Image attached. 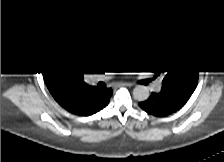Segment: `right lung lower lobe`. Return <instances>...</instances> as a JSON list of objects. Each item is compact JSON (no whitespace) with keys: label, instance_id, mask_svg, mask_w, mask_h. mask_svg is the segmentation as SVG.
<instances>
[{"label":"right lung lower lobe","instance_id":"1","mask_svg":"<svg viewBox=\"0 0 224 162\" xmlns=\"http://www.w3.org/2000/svg\"><path fill=\"white\" fill-rule=\"evenodd\" d=\"M111 92H112V90H111ZM111 95H112V94H111ZM111 95H110V96H111ZM110 96L103 102V104L97 109L96 112L100 111L101 109H103L104 107H106V106L108 105ZM96 112H95V113H96ZM93 114H94V113H93ZM88 116H89V115H88Z\"/></svg>","mask_w":224,"mask_h":162}]
</instances>
